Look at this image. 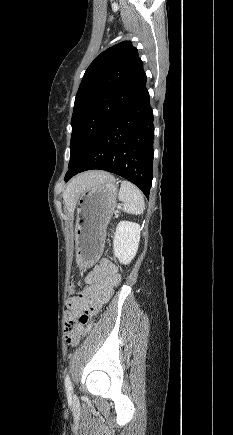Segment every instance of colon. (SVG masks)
<instances>
[{
    "instance_id": "obj_1",
    "label": "colon",
    "mask_w": 233,
    "mask_h": 435,
    "mask_svg": "<svg viewBox=\"0 0 233 435\" xmlns=\"http://www.w3.org/2000/svg\"><path fill=\"white\" fill-rule=\"evenodd\" d=\"M74 288L69 287V293H74ZM66 329V340L68 343H72L75 341V337L72 332V328L70 326H65Z\"/></svg>"
}]
</instances>
